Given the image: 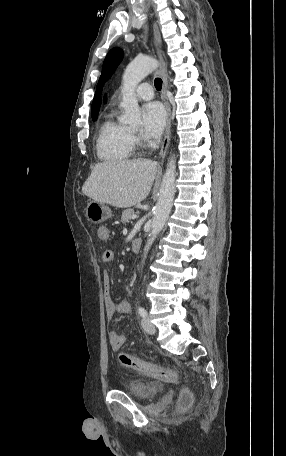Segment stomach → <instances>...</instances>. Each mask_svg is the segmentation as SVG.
I'll use <instances>...</instances> for the list:
<instances>
[{"instance_id":"stomach-1","label":"stomach","mask_w":286,"mask_h":456,"mask_svg":"<svg viewBox=\"0 0 286 456\" xmlns=\"http://www.w3.org/2000/svg\"><path fill=\"white\" fill-rule=\"evenodd\" d=\"M112 216L111 209L104 203L92 201L87 205L86 217L94 223L99 224Z\"/></svg>"}]
</instances>
